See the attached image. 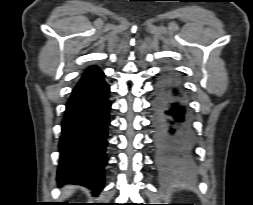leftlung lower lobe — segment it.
Listing matches in <instances>:
<instances>
[{
    "instance_id": "1",
    "label": "left lung lower lobe",
    "mask_w": 253,
    "mask_h": 205,
    "mask_svg": "<svg viewBox=\"0 0 253 205\" xmlns=\"http://www.w3.org/2000/svg\"><path fill=\"white\" fill-rule=\"evenodd\" d=\"M152 108L159 163L163 166L188 165V120L184 100L174 81L166 80L159 85Z\"/></svg>"
}]
</instances>
